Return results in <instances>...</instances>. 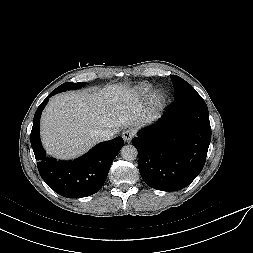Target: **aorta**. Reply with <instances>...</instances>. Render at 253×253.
Instances as JSON below:
<instances>
[{"label": "aorta", "instance_id": "1", "mask_svg": "<svg viewBox=\"0 0 253 253\" xmlns=\"http://www.w3.org/2000/svg\"><path fill=\"white\" fill-rule=\"evenodd\" d=\"M121 156L127 161H133L137 158L138 152L133 145H125L121 149Z\"/></svg>", "mask_w": 253, "mask_h": 253}]
</instances>
